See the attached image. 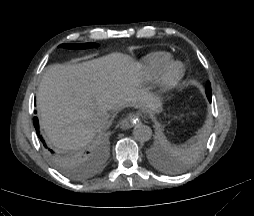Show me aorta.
I'll return each instance as SVG.
<instances>
[{
  "instance_id": "aorta-1",
  "label": "aorta",
  "mask_w": 254,
  "mask_h": 216,
  "mask_svg": "<svg viewBox=\"0 0 254 216\" xmlns=\"http://www.w3.org/2000/svg\"><path fill=\"white\" fill-rule=\"evenodd\" d=\"M134 138L139 142H146L152 137V130L149 126L138 123L133 129Z\"/></svg>"
}]
</instances>
